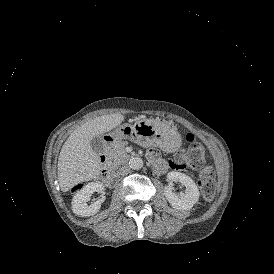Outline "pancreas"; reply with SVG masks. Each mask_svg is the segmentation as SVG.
<instances>
[{
    "label": "pancreas",
    "mask_w": 274,
    "mask_h": 274,
    "mask_svg": "<svg viewBox=\"0 0 274 274\" xmlns=\"http://www.w3.org/2000/svg\"><path fill=\"white\" fill-rule=\"evenodd\" d=\"M127 144V141H116L113 147H106L104 150L103 153L107 162H109L114 168H117L121 164L127 163L130 157L125 151V146Z\"/></svg>",
    "instance_id": "obj_1"
}]
</instances>
